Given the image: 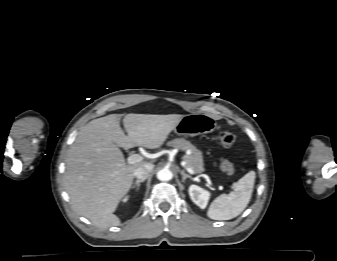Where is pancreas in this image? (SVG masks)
<instances>
[{"label": "pancreas", "mask_w": 337, "mask_h": 261, "mask_svg": "<svg viewBox=\"0 0 337 261\" xmlns=\"http://www.w3.org/2000/svg\"><path fill=\"white\" fill-rule=\"evenodd\" d=\"M169 145L183 151H190V154H185L183 156V160L186 163V166L191 167L195 173H202L205 171L201 151L194 147L189 141L185 139H175L170 141Z\"/></svg>", "instance_id": "obj_1"}]
</instances>
